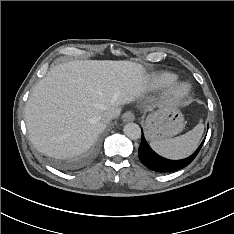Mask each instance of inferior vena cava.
I'll return each instance as SVG.
<instances>
[{"instance_id": "1", "label": "inferior vena cava", "mask_w": 234, "mask_h": 234, "mask_svg": "<svg viewBox=\"0 0 234 234\" xmlns=\"http://www.w3.org/2000/svg\"><path fill=\"white\" fill-rule=\"evenodd\" d=\"M120 114V109H112L105 111L101 116L100 120L103 124H108L112 119L118 117Z\"/></svg>"}]
</instances>
